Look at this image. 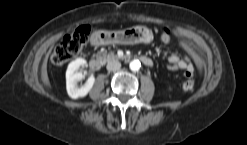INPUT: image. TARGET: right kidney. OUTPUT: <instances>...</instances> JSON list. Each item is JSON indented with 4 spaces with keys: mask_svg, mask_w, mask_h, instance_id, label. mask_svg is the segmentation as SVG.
Masks as SVG:
<instances>
[{
    "mask_svg": "<svg viewBox=\"0 0 247 145\" xmlns=\"http://www.w3.org/2000/svg\"><path fill=\"white\" fill-rule=\"evenodd\" d=\"M86 66V60L78 58L72 61L66 71V89L68 95L72 99H78L85 97L92 89L95 78L93 76L89 77L82 87L78 88L77 83L82 80L83 75L79 72L80 67Z\"/></svg>",
    "mask_w": 247,
    "mask_h": 145,
    "instance_id": "1",
    "label": "right kidney"
}]
</instances>
